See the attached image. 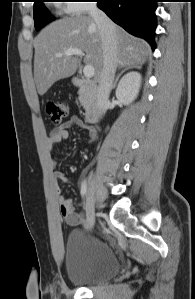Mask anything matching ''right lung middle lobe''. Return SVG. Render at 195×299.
I'll return each mask as SVG.
<instances>
[{"mask_svg": "<svg viewBox=\"0 0 195 299\" xmlns=\"http://www.w3.org/2000/svg\"><path fill=\"white\" fill-rule=\"evenodd\" d=\"M43 1L34 0V22L37 31L54 19L45 8Z\"/></svg>", "mask_w": 195, "mask_h": 299, "instance_id": "dd1d6c3e", "label": "right lung middle lobe"}]
</instances>
